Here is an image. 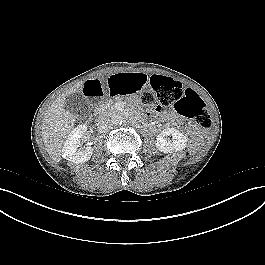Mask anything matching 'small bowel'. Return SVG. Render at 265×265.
Returning a JSON list of instances; mask_svg holds the SVG:
<instances>
[{
  "instance_id": "1",
  "label": "small bowel",
  "mask_w": 265,
  "mask_h": 265,
  "mask_svg": "<svg viewBox=\"0 0 265 265\" xmlns=\"http://www.w3.org/2000/svg\"><path fill=\"white\" fill-rule=\"evenodd\" d=\"M147 78L143 72L130 71L126 74H116L105 79L89 80L85 84V91L89 95H97L104 92L110 94L135 93L139 88L146 84ZM157 113L166 119H172L173 113L165 111L163 108H157Z\"/></svg>"
}]
</instances>
